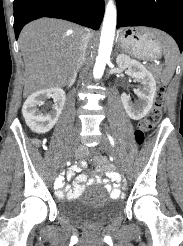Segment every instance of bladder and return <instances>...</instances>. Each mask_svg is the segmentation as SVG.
I'll return each instance as SVG.
<instances>
[{
  "instance_id": "obj_1",
  "label": "bladder",
  "mask_w": 183,
  "mask_h": 246,
  "mask_svg": "<svg viewBox=\"0 0 183 246\" xmlns=\"http://www.w3.org/2000/svg\"><path fill=\"white\" fill-rule=\"evenodd\" d=\"M122 209L119 200L112 199L101 187L90 188L88 194L60 205L61 215L77 224H104Z\"/></svg>"
}]
</instances>
